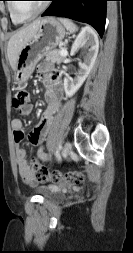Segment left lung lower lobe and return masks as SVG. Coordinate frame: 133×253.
I'll return each mask as SVG.
<instances>
[{"label": "left lung lower lobe", "mask_w": 133, "mask_h": 253, "mask_svg": "<svg viewBox=\"0 0 133 253\" xmlns=\"http://www.w3.org/2000/svg\"><path fill=\"white\" fill-rule=\"evenodd\" d=\"M42 16H60L92 25L100 36L104 33L108 0H50Z\"/></svg>", "instance_id": "obj_1"}]
</instances>
